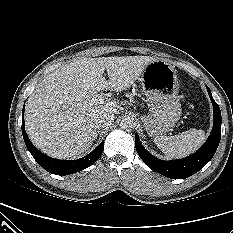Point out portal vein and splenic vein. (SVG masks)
<instances>
[{
    "label": "portal vein and splenic vein",
    "mask_w": 233,
    "mask_h": 233,
    "mask_svg": "<svg viewBox=\"0 0 233 233\" xmlns=\"http://www.w3.org/2000/svg\"><path fill=\"white\" fill-rule=\"evenodd\" d=\"M105 100V97L102 94H96L93 98H92V102L93 103H99L102 104Z\"/></svg>",
    "instance_id": "1"
}]
</instances>
